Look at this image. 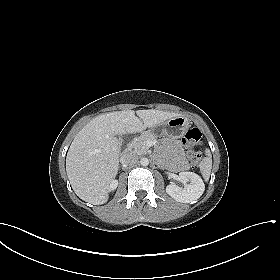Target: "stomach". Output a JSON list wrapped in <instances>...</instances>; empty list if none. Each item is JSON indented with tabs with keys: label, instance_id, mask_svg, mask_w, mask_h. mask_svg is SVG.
<instances>
[{
	"label": "stomach",
	"instance_id": "stomach-1",
	"mask_svg": "<svg viewBox=\"0 0 280 280\" xmlns=\"http://www.w3.org/2000/svg\"><path fill=\"white\" fill-rule=\"evenodd\" d=\"M189 126V121L184 116H177L161 124L162 132L172 138L181 137Z\"/></svg>",
	"mask_w": 280,
	"mask_h": 280
}]
</instances>
